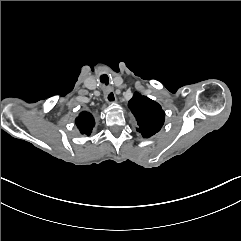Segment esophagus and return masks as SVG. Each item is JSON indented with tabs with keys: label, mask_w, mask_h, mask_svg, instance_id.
<instances>
[{
	"label": "esophagus",
	"mask_w": 241,
	"mask_h": 241,
	"mask_svg": "<svg viewBox=\"0 0 241 241\" xmlns=\"http://www.w3.org/2000/svg\"><path fill=\"white\" fill-rule=\"evenodd\" d=\"M104 98L108 103H115L116 102V95L111 88L105 89Z\"/></svg>",
	"instance_id": "esophagus-1"
}]
</instances>
